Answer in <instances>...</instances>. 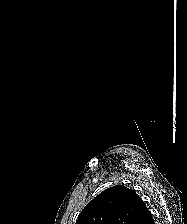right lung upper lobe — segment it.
I'll list each match as a JSON object with an SVG mask.
<instances>
[{"instance_id": "right-lung-upper-lobe-1", "label": "right lung upper lobe", "mask_w": 187, "mask_h": 224, "mask_svg": "<svg viewBox=\"0 0 187 224\" xmlns=\"http://www.w3.org/2000/svg\"><path fill=\"white\" fill-rule=\"evenodd\" d=\"M76 224H154L151 213L134 190L110 187L81 211Z\"/></svg>"}]
</instances>
